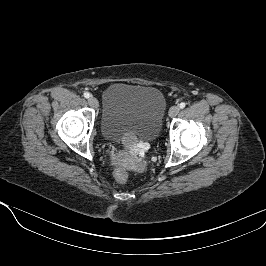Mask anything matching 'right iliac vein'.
<instances>
[{
  "mask_svg": "<svg viewBox=\"0 0 266 266\" xmlns=\"http://www.w3.org/2000/svg\"><path fill=\"white\" fill-rule=\"evenodd\" d=\"M88 103L93 108H97L98 107V100L95 97H90L88 99Z\"/></svg>",
  "mask_w": 266,
  "mask_h": 266,
  "instance_id": "right-iliac-vein-1",
  "label": "right iliac vein"
}]
</instances>
